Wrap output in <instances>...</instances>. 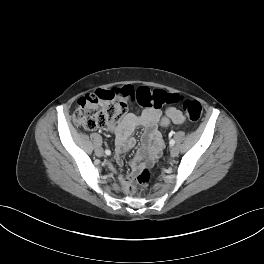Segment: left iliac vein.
Wrapping results in <instances>:
<instances>
[{
    "label": "left iliac vein",
    "mask_w": 264,
    "mask_h": 264,
    "mask_svg": "<svg viewBox=\"0 0 264 264\" xmlns=\"http://www.w3.org/2000/svg\"><path fill=\"white\" fill-rule=\"evenodd\" d=\"M179 153V149L176 146H173L170 150V155L172 157H176Z\"/></svg>",
    "instance_id": "4c4485c4"
}]
</instances>
